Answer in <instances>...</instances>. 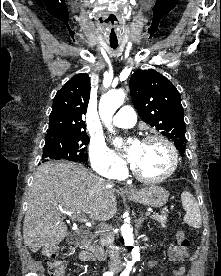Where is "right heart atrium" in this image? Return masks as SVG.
Masks as SVG:
<instances>
[{
	"instance_id": "d8ad5b80",
	"label": "right heart atrium",
	"mask_w": 221,
	"mask_h": 276,
	"mask_svg": "<svg viewBox=\"0 0 221 276\" xmlns=\"http://www.w3.org/2000/svg\"><path fill=\"white\" fill-rule=\"evenodd\" d=\"M89 157L93 169L109 179H118L125 171V162L101 139L92 140Z\"/></svg>"
}]
</instances>
